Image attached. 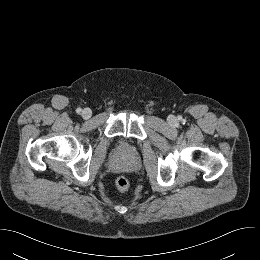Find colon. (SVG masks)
<instances>
[{
	"label": "colon",
	"mask_w": 260,
	"mask_h": 260,
	"mask_svg": "<svg viewBox=\"0 0 260 260\" xmlns=\"http://www.w3.org/2000/svg\"><path fill=\"white\" fill-rule=\"evenodd\" d=\"M115 185L120 192H126L130 187V182L125 176H119L115 181Z\"/></svg>",
	"instance_id": "obj_1"
}]
</instances>
